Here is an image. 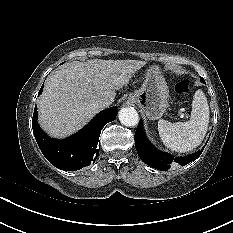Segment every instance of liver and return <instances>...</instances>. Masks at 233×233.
<instances>
[{
    "label": "liver",
    "instance_id": "1",
    "mask_svg": "<svg viewBox=\"0 0 233 233\" xmlns=\"http://www.w3.org/2000/svg\"><path fill=\"white\" fill-rule=\"evenodd\" d=\"M146 63L138 60L73 61L52 73L37 101L39 123L55 138L80 130L99 111L100 98L114 101L116 90L127 85Z\"/></svg>",
    "mask_w": 233,
    "mask_h": 233
}]
</instances>
